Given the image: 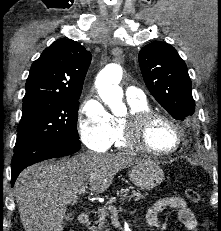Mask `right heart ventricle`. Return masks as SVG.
Returning <instances> with one entry per match:
<instances>
[{
    "instance_id": "1",
    "label": "right heart ventricle",
    "mask_w": 221,
    "mask_h": 231,
    "mask_svg": "<svg viewBox=\"0 0 221 231\" xmlns=\"http://www.w3.org/2000/svg\"><path fill=\"white\" fill-rule=\"evenodd\" d=\"M130 106V113H136L144 110H149L147 101H128ZM123 118L115 119V136L112 144L119 149H129L123 141Z\"/></svg>"
}]
</instances>
